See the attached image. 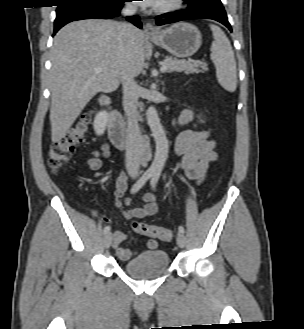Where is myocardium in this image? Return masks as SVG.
<instances>
[{"mask_svg":"<svg viewBox=\"0 0 304 329\" xmlns=\"http://www.w3.org/2000/svg\"><path fill=\"white\" fill-rule=\"evenodd\" d=\"M184 0H168L164 4L155 6L154 12L157 14H168L182 8Z\"/></svg>","mask_w":304,"mask_h":329,"instance_id":"obj_1","label":"myocardium"}]
</instances>
